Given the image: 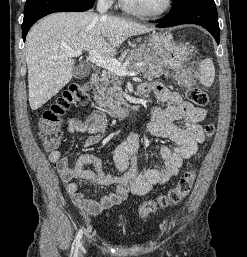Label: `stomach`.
Listing matches in <instances>:
<instances>
[{"label": "stomach", "instance_id": "stomach-1", "mask_svg": "<svg viewBox=\"0 0 247 257\" xmlns=\"http://www.w3.org/2000/svg\"><path fill=\"white\" fill-rule=\"evenodd\" d=\"M136 56L143 61H155L170 69L181 67L189 56V51L174 40L169 32L152 33L147 43L138 47Z\"/></svg>", "mask_w": 247, "mask_h": 257}]
</instances>
